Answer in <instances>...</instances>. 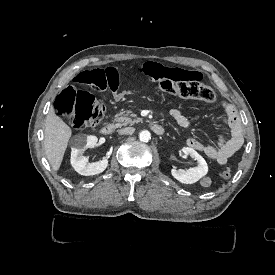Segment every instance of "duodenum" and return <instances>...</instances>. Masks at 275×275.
Here are the masks:
<instances>
[{
    "label": "duodenum",
    "mask_w": 275,
    "mask_h": 275,
    "mask_svg": "<svg viewBox=\"0 0 275 275\" xmlns=\"http://www.w3.org/2000/svg\"><path fill=\"white\" fill-rule=\"evenodd\" d=\"M153 133L157 135H162L164 133V127L159 123H152L150 126ZM114 125L112 123L105 124L100 128V133L104 136L112 135L114 132Z\"/></svg>",
    "instance_id": "410a0bca"
}]
</instances>
